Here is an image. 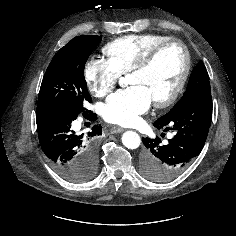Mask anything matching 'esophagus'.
<instances>
[{"mask_svg":"<svg viewBox=\"0 0 236 236\" xmlns=\"http://www.w3.org/2000/svg\"><path fill=\"white\" fill-rule=\"evenodd\" d=\"M124 131V128L119 127V126H112L110 129V132L115 134V133H121Z\"/></svg>","mask_w":236,"mask_h":236,"instance_id":"esophagus-1","label":"esophagus"}]
</instances>
